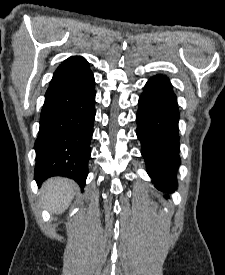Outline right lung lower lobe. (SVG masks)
Segmentation results:
<instances>
[{
	"label": "right lung lower lobe",
	"instance_id": "obj_1",
	"mask_svg": "<svg viewBox=\"0 0 225 275\" xmlns=\"http://www.w3.org/2000/svg\"><path fill=\"white\" fill-rule=\"evenodd\" d=\"M94 77L88 83L46 92L35 141L38 184L52 176L84 187L95 118Z\"/></svg>",
	"mask_w": 225,
	"mask_h": 275
}]
</instances>
